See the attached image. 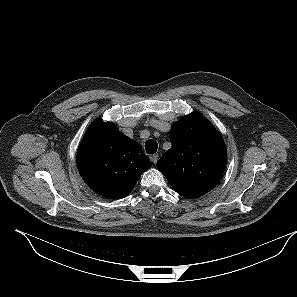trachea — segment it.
<instances>
[{"label":"trachea","instance_id":"1","mask_svg":"<svg viewBox=\"0 0 297 297\" xmlns=\"http://www.w3.org/2000/svg\"><path fill=\"white\" fill-rule=\"evenodd\" d=\"M157 148L158 143L153 139H150L145 143V149L147 154H154L157 151Z\"/></svg>","mask_w":297,"mask_h":297}]
</instances>
